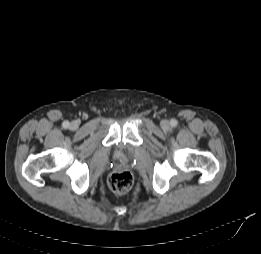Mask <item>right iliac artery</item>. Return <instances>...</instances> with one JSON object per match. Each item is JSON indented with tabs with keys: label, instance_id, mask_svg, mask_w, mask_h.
I'll use <instances>...</instances> for the list:
<instances>
[{
	"label": "right iliac artery",
	"instance_id": "1",
	"mask_svg": "<svg viewBox=\"0 0 261 254\" xmlns=\"http://www.w3.org/2000/svg\"><path fill=\"white\" fill-rule=\"evenodd\" d=\"M63 127L64 128H68L69 127V122L68 121H64L63 122Z\"/></svg>",
	"mask_w": 261,
	"mask_h": 254
}]
</instances>
